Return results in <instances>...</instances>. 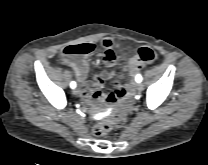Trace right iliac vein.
<instances>
[{"mask_svg": "<svg viewBox=\"0 0 208 165\" xmlns=\"http://www.w3.org/2000/svg\"><path fill=\"white\" fill-rule=\"evenodd\" d=\"M72 93H73V95L78 96L80 92H79L78 88H74Z\"/></svg>", "mask_w": 208, "mask_h": 165, "instance_id": "63e3f726", "label": "right iliac vein"}]
</instances>
